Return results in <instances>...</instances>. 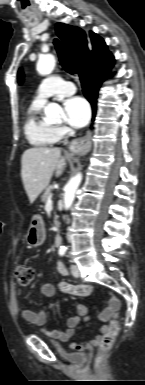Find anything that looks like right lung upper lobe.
Returning a JSON list of instances; mask_svg holds the SVG:
<instances>
[{
    "instance_id": "1",
    "label": "right lung upper lobe",
    "mask_w": 145,
    "mask_h": 385,
    "mask_svg": "<svg viewBox=\"0 0 145 385\" xmlns=\"http://www.w3.org/2000/svg\"><path fill=\"white\" fill-rule=\"evenodd\" d=\"M56 33L63 41L69 58L77 68L79 75L90 68H99L114 62V57L107 50L105 42L95 33L90 32L92 51L89 49L86 34L81 29L57 23Z\"/></svg>"
}]
</instances>
